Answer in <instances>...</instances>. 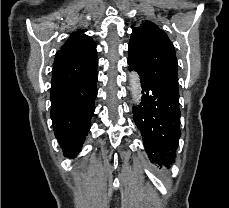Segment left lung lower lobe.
<instances>
[{"label": "left lung lower lobe", "mask_w": 229, "mask_h": 208, "mask_svg": "<svg viewBox=\"0 0 229 208\" xmlns=\"http://www.w3.org/2000/svg\"><path fill=\"white\" fill-rule=\"evenodd\" d=\"M129 70L137 71L128 61ZM138 72V71H137ZM140 76L142 99L134 107V121L141 131L144 147L151 162L170 167L176 157L180 131L179 95Z\"/></svg>", "instance_id": "1"}]
</instances>
